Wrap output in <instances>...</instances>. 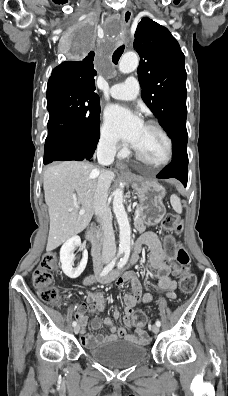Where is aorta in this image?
<instances>
[{
	"instance_id": "1",
	"label": "aorta",
	"mask_w": 228,
	"mask_h": 396,
	"mask_svg": "<svg viewBox=\"0 0 228 396\" xmlns=\"http://www.w3.org/2000/svg\"><path fill=\"white\" fill-rule=\"evenodd\" d=\"M139 64L138 55L134 52H128L122 56L119 61V70L122 73H131L137 69ZM113 212L116 216L120 234L119 249L121 251H130L131 248V229L127 213L123 205V190L116 189L113 198Z\"/></svg>"
}]
</instances>
